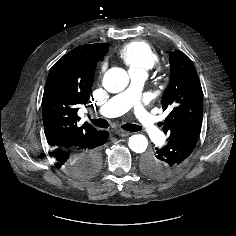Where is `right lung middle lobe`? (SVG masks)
I'll list each match as a JSON object with an SVG mask.
<instances>
[{"instance_id": "dd1d6c3e", "label": "right lung middle lobe", "mask_w": 236, "mask_h": 236, "mask_svg": "<svg viewBox=\"0 0 236 236\" xmlns=\"http://www.w3.org/2000/svg\"><path fill=\"white\" fill-rule=\"evenodd\" d=\"M100 167L101 165L98 164V162L94 158L89 157L86 163L85 177L86 178L93 177L94 175L98 173V171L100 170Z\"/></svg>"}]
</instances>
